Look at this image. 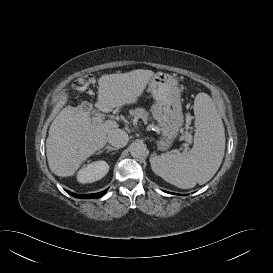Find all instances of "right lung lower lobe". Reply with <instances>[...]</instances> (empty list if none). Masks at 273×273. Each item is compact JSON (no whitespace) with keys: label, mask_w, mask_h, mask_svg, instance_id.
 <instances>
[{"label":"right lung lower lobe","mask_w":273,"mask_h":273,"mask_svg":"<svg viewBox=\"0 0 273 273\" xmlns=\"http://www.w3.org/2000/svg\"><path fill=\"white\" fill-rule=\"evenodd\" d=\"M66 192L70 195H72L73 197H76V198H81V199H89V198H93V199H96V198H100L102 196H104L107 192V189L104 190L103 192H99V193H94V194H75V193H72L70 191H67Z\"/></svg>","instance_id":"obj_1"}]
</instances>
